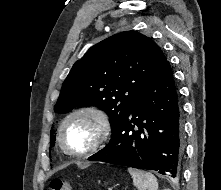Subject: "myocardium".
I'll return each instance as SVG.
<instances>
[{
	"instance_id": "obj_1",
	"label": "myocardium",
	"mask_w": 221,
	"mask_h": 190,
	"mask_svg": "<svg viewBox=\"0 0 221 190\" xmlns=\"http://www.w3.org/2000/svg\"><path fill=\"white\" fill-rule=\"evenodd\" d=\"M78 115L91 116L96 121L97 124V133L93 143L88 148L82 151H77L68 148L63 140V131L65 125L69 120H71L72 118ZM110 133H111V122L108 114L103 109L97 106L84 105L73 109L62 119L58 129V141L61 149L65 153L75 157H84L96 152L99 148H101L107 141Z\"/></svg>"
}]
</instances>
